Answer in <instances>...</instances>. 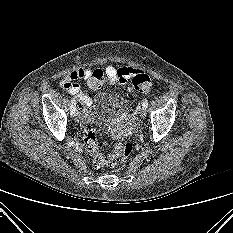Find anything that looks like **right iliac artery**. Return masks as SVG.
Returning a JSON list of instances; mask_svg holds the SVG:
<instances>
[{
  "label": "right iliac artery",
  "instance_id": "82829eb1",
  "mask_svg": "<svg viewBox=\"0 0 233 233\" xmlns=\"http://www.w3.org/2000/svg\"><path fill=\"white\" fill-rule=\"evenodd\" d=\"M75 111H76V102H75V99L72 98V100H71V109H70V112H71L72 116L74 115Z\"/></svg>",
  "mask_w": 233,
  "mask_h": 233
}]
</instances>
